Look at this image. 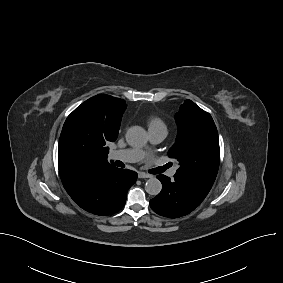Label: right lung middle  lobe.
<instances>
[{
    "label": "right lung middle lobe",
    "mask_w": 283,
    "mask_h": 283,
    "mask_svg": "<svg viewBox=\"0 0 283 283\" xmlns=\"http://www.w3.org/2000/svg\"><path fill=\"white\" fill-rule=\"evenodd\" d=\"M117 135L104 133L98 120L81 105L66 119L59 140V148L84 159L108 154V141H115Z\"/></svg>",
    "instance_id": "right-lung-middle-lobe-1"
}]
</instances>
